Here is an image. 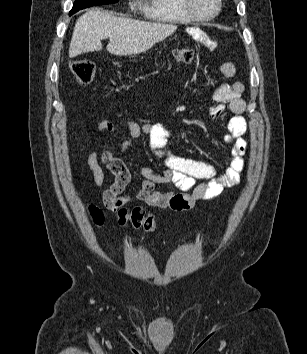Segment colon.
<instances>
[{
    "label": "colon",
    "mask_w": 307,
    "mask_h": 354,
    "mask_svg": "<svg viewBox=\"0 0 307 354\" xmlns=\"http://www.w3.org/2000/svg\"><path fill=\"white\" fill-rule=\"evenodd\" d=\"M195 52L190 48H180L174 51V57L177 61L182 63H191L194 59ZM69 70L73 77L82 84H90L95 76V65L89 59H76L70 62ZM117 211L118 221L121 225L131 224L135 228L143 229L146 232H153L156 230V220L154 216L147 213L143 208L136 207L128 210L124 207H114ZM90 214L97 224L103 222V214L95 206H90Z\"/></svg>",
    "instance_id": "colon-1"
}]
</instances>
